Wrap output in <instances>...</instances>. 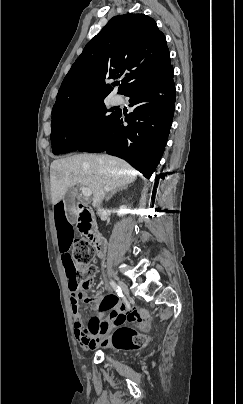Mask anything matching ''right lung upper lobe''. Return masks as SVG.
Segmentation results:
<instances>
[{"label": "right lung upper lobe", "mask_w": 243, "mask_h": 404, "mask_svg": "<svg viewBox=\"0 0 243 404\" xmlns=\"http://www.w3.org/2000/svg\"><path fill=\"white\" fill-rule=\"evenodd\" d=\"M170 66L164 34L144 14L113 17L83 49L64 78L52 117L95 99L106 97L123 76L120 94L146 82Z\"/></svg>", "instance_id": "1"}]
</instances>
